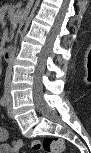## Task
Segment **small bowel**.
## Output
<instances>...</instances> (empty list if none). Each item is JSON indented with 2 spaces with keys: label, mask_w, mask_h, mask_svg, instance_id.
Segmentation results:
<instances>
[{
  "label": "small bowel",
  "mask_w": 91,
  "mask_h": 153,
  "mask_svg": "<svg viewBox=\"0 0 91 153\" xmlns=\"http://www.w3.org/2000/svg\"><path fill=\"white\" fill-rule=\"evenodd\" d=\"M8 137V133L6 130L4 129H0V151L3 153H14L17 151V149L15 148V141L13 142V144H7L4 143V141L7 139Z\"/></svg>",
  "instance_id": "1"
}]
</instances>
